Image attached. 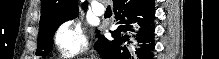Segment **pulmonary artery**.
<instances>
[{
	"label": "pulmonary artery",
	"instance_id": "pulmonary-artery-1",
	"mask_svg": "<svg viewBox=\"0 0 219 59\" xmlns=\"http://www.w3.org/2000/svg\"><path fill=\"white\" fill-rule=\"evenodd\" d=\"M101 3H103V2L102 1H97L92 6V11L94 12V14H96L98 16H102L105 13V7Z\"/></svg>",
	"mask_w": 219,
	"mask_h": 59
}]
</instances>
